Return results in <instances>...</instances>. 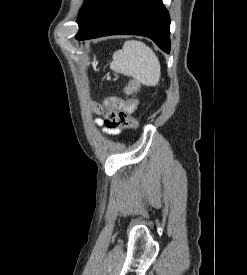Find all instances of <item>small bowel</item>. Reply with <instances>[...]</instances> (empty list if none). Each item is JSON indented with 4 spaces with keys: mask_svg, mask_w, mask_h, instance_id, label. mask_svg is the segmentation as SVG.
<instances>
[{
    "mask_svg": "<svg viewBox=\"0 0 247 275\" xmlns=\"http://www.w3.org/2000/svg\"><path fill=\"white\" fill-rule=\"evenodd\" d=\"M95 123L98 125V126H104V121L100 118H97L95 120ZM104 132L106 134H110V135H116V134H119L120 133V129L118 128H109V127H105L104 128Z\"/></svg>",
    "mask_w": 247,
    "mask_h": 275,
    "instance_id": "1",
    "label": "small bowel"
}]
</instances>
